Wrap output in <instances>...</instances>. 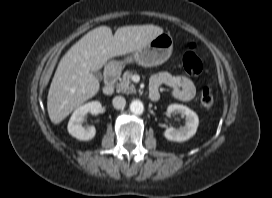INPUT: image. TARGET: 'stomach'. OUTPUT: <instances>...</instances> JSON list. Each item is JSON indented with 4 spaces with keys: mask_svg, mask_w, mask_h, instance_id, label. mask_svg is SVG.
<instances>
[{
    "mask_svg": "<svg viewBox=\"0 0 272 198\" xmlns=\"http://www.w3.org/2000/svg\"><path fill=\"white\" fill-rule=\"evenodd\" d=\"M173 50V39L170 34H160L145 47L136 50L122 61H110L108 65L121 67L127 63H137L143 67H153L168 60Z\"/></svg>",
    "mask_w": 272,
    "mask_h": 198,
    "instance_id": "0dacf381",
    "label": "stomach"
}]
</instances>
